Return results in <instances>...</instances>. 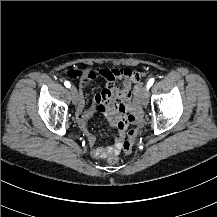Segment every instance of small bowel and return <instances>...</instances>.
<instances>
[{
	"instance_id": "c3829d8e",
	"label": "small bowel",
	"mask_w": 217,
	"mask_h": 217,
	"mask_svg": "<svg viewBox=\"0 0 217 217\" xmlns=\"http://www.w3.org/2000/svg\"><path fill=\"white\" fill-rule=\"evenodd\" d=\"M97 80H105V87L94 96L92 106L84 110L83 89ZM117 80H120V83H117ZM80 83L75 122L87 137L91 156L95 159H105L110 154H118L123 148L125 131L131 117L136 120L142 117L141 74L127 68L118 75L106 69H94L82 73ZM100 114H103L117 131L113 145L97 146L94 136L88 132L87 121Z\"/></svg>"
}]
</instances>
